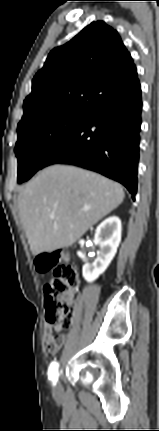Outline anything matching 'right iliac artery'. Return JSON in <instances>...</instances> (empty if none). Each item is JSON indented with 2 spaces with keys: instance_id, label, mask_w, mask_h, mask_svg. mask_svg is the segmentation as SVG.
Instances as JSON below:
<instances>
[{
  "instance_id": "obj_1",
  "label": "right iliac artery",
  "mask_w": 159,
  "mask_h": 431,
  "mask_svg": "<svg viewBox=\"0 0 159 431\" xmlns=\"http://www.w3.org/2000/svg\"><path fill=\"white\" fill-rule=\"evenodd\" d=\"M58 368H59V363L54 361L50 364L49 370H48L49 379L53 382L54 385L56 384L59 376Z\"/></svg>"
}]
</instances>
